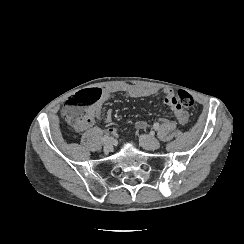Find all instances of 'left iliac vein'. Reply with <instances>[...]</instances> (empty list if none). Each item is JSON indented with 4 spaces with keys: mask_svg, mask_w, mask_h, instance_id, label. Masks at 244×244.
Segmentation results:
<instances>
[{
    "mask_svg": "<svg viewBox=\"0 0 244 244\" xmlns=\"http://www.w3.org/2000/svg\"><path fill=\"white\" fill-rule=\"evenodd\" d=\"M139 141L141 145L147 150H155L160 146L159 141L150 135H140Z\"/></svg>",
    "mask_w": 244,
    "mask_h": 244,
    "instance_id": "4c4485c4",
    "label": "left iliac vein"
}]
</instances>
